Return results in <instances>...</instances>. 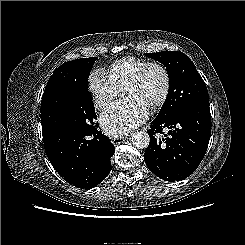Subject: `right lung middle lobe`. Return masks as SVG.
I'll use <instances>...</instances> for the list:
<instances>
[{"label": "right lung middle lobe", "mask_w": 245, "mask_h": 245, "mask_svg": "<svg viewBox=\"0 0 245 245\" xmlns=\"http://www.w3.org/2000/svg\"><path fill=\"white\" fill-rule=\"evenodd\" d=\"M97 57L81 58L62 64L52 87L54 103L41 112L42 128L94 125L95 107L88 90V78Z\"/></svg>", "instance_id": "1"}]
</instances>
